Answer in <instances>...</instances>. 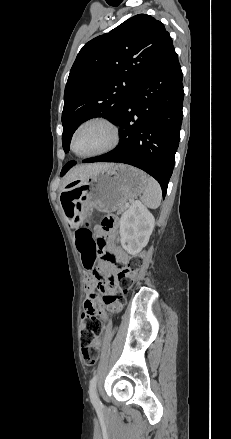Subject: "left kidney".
Segmentation results:
<instances>
[{
    "mask_svg": "<svg viewBox=\"0 0 231 439\" xmlns=\"http://www.w3.org/2000/svg\"><path fill=\"white\" fill-rule=\"evenodd\" d=\"M155 225L154 216L140 201H135L120 218V237L123 249L138 254L148 243Z\"/></svg>",
    "mask_w": 231,
    "mask_h": 439,
    "instance_id": "1",
    "label": "left kidney"
}]
</instances>
